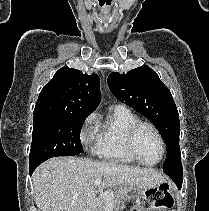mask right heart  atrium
<instances>
[{
  "mask_svg": "<svg viewBox=\"0 0 209 211\" xmlns=\"http://www.w3.org/2000/svg\"><path fill=\"white\" fill-rule=\"evenodd\" d=\"M97 117L95 113L89 114L82 123L79 137L84 146H90L95 143L97 138Z\"/></svg>",
  "mask_w": 209,
  "mask_h": 211,
  "instance_id": "1",
  "label": "right heart atrium"
}]
</instances>
